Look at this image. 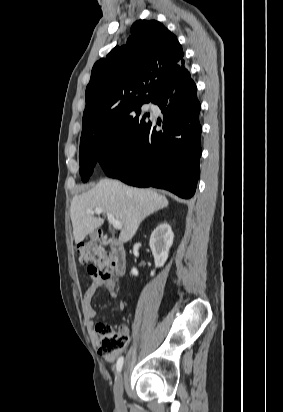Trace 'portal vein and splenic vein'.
<instances>
[{"mask_svg": "<svg viewBox=\"0 0 283 412\" xmlns=\"http://www.w3.org/2000/svg\"><path fill=\"white\" fill-rule=\"evenodd\" d=\"M87 213L89 214H101L102 212L106 213L107 218L109 223L115 228V229H121L122 228V224L119 220L115 219L110 213H108L107 211H105L103 208L101 207H97L94 210H86Z\"/></svg>", "mask_w": 283, "mask_h": 412, "instance_id": "18ae733b", "label": "portal vein and splenic vein"}]
</instances>
